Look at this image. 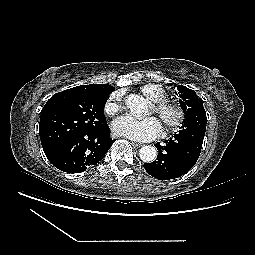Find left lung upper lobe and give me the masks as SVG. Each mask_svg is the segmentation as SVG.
Listing matches in <instances>:
<instances>
[{
	"label": "left lung upper lobe",
	"instance_id": "1",
	"mask_svg": "<svg viewBox=\"0 0 255 255\" xmlns=\"http://www.w3.org/2000/svg\"><path fill=\"white\" fill-rule=\"evenodd\" d=\"M178 92L176 95L180 97V104L185 111V119L183 122L182 130L179 134L187 131L196 124L207 123L206 112L203 107L204 101L199 98L194 90H191L183 85L177 86Z\"/></svg>",
	"mask_w": 255,
	"mask_h": 255
}]
</instances>
